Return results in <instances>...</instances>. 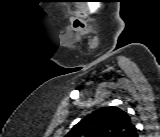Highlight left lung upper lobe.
Here are the masks:
<instances>
[{
    "mask_svg": "<svg viewBox=\"0 0 160 137\" xmlns=\"http://www.w3.org/2000/svg\"><path fill=\"white\" fill-rule=\"evenodd\" d=\"M136 128L118 107L94 111L76 124L66 137H136Z\"/></svg>",
    "mask_w": 160,
    "mask_h": 137,
    "instance_id": "obj_1",
    "label": "left lung upper lobe"
}]
</instances>
